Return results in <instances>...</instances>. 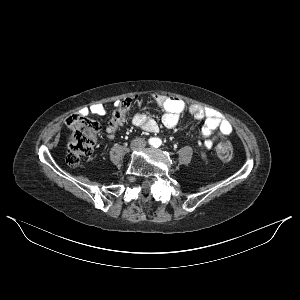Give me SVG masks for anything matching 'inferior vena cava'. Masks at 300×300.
<instances>
[{
  "instance_id": "1",
  "label": "inferior vena cava",
  "mask_w": 300,
  "mask_h": 300,
  "mask_svg": "<svg viewBox=\"0 0 300 300\" xmlns=\"http://www.w3.org/2000/svg\"><path fill=\"white\" fill-rule=\"evenodd\" d=\"M137 141H139L142 145H145L146 144V142H145V140L144 139H139V140H137Z\"/></svg>"
}]
</instances>
